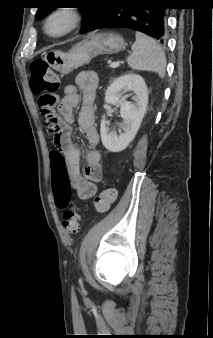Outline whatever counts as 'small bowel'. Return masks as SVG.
Wrapping results in <instances>:
<instances>
[{
	"instance_id": "small-bowel-1",
	"label": "small bowel",
	"mask_w": 213,
	"mask_h": 338,
	"mask_svg": "<svg viewBox=\"0 0 213 338\" xmlns=\"http://www.w3.org/2000/svg\"><path fill=\"white\" fill-rule=\"evenodd\" d=\"M98 87V77L94 72L80 73L75 85H67L63 89V97L58 106L60 118L58 126L62 132L61 147L65 150L62 156L58 151H52L50 161L53 173L64 172L69 177L72 187L81 200H89L97 192L96 183L102 180V165L100 153L95 149L99 134L94 123L93 102ZM82 94V96H81ZM82 105L77 118L79 129L84 133L88 150L84 153V166L80 168L81 149L73 140L72 124L75 122L74 109ZM48 132L52 135L48 126Z\"/></svg>"
}]
</instances>
